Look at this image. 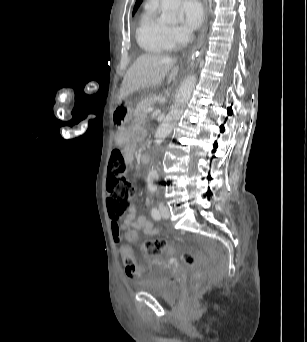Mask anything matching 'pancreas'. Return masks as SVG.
I'll return each mask as SVG.
<instances>
[{"instance_id":"1","label":"pancreas","mask_w":307,"mask_h":342,"mask_svg":"<svg viewBox=\"0 0 307 342\" xmlns=\"http://www.w3.org/2000/svg\"><path fill=\"white\" fill-rule=\"evenodd\" d=\"M154 100L153 98H145V100H141L139 104L136 106V119H145L147 114L145 113L148 108H153Z\"/></svg>"}]
</instances>
